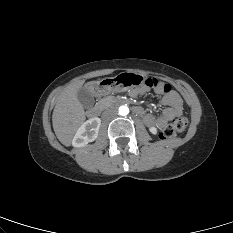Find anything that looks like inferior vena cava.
<instances>
[{
  "mask_svg": "<svg viewBox=\"0 0 233 233\" xmlns=\"http://www.w3.org/2000/svg\"><path fill=\"white\" fill-rule=\"evenodd\" d=\"M117 111L115 109H108L103 112L102 117L104 120H110L114 117H116Z\"/></svg>",
  "mask_w": 233,
  "mask_h": 233,
  "instance_id": "inferior-vena-cava-1",
  "label": "inferior vena cava"
}]
</instances>
